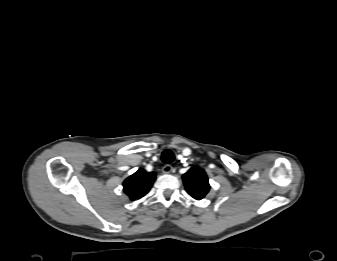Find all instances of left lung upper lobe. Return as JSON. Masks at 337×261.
<instances>
[{"mask_svg":"<svg viewBox=\"0 0 337 261\" xmlns=\"http://www.w3.org/2000/svg\"><path fill=\"white\" fill-rule=\"evenodd\" d=\"M183 182L188 194L196 200L204 198L210 189L207 175L199 167H192L185 173L183 175Z\"/></svg>","mask_w":337,"mask_h":261,"instance_id":"obj_1","label":"left lung upper lobe"}]
</instances>
